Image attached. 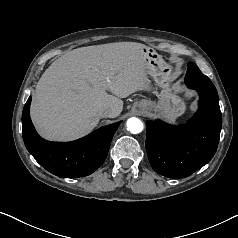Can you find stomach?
<instances>
[{
    "label": "stomach",
    "instance_id": "0dacf381",
    "mask_svg": "<svg viewBox=\"0 0 238 238\" xmlns=\"http://www.w3.org/2000/svg\"><path fill=\"white\" fill-rule=\"evenodd\" d=\"M142 59L153 78L155 86L159 89L157 100H141L134 104L135 108L146 110L174 123L186 109L183 99L174 90V73L171 65L166 63L153 48H142Z\"/></svg>",
    "mask_w": 238,
    "mask_h": 238
}]
</instances>
